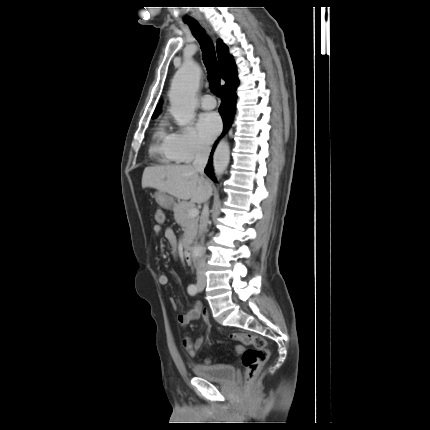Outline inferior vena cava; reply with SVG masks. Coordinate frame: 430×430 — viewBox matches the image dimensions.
Masks as SVG:
<instances>
[{
	"instance_id": "obj_1",
	"label": "inferior vena cava",
	"mask_w": 430,
	"mask_h": 430,
	"mask_svg": "<svg viewBox=\"0 0 430 430\" xmlns=\"http://www.w3.org/2000/svg\"><path fill=\"white\" fill-rule=\"evenodd\" d=\"M210 151H211L210 147H201L198 150L195 156V159L193 161L194 170L200 173L202 178L204 175V169L207 165ZM208 219H209V207H208V203L205 202L201 213L200 224H199V234L201 236L204 235L207 229ZM197 278L201 280L205 279V259L204 258H202L199 261L198 268H197Z\"/></svg>"
}]
</instances>
